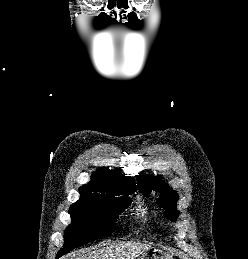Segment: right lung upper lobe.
<instances>
[{"label": "right lung upper lobe", "mask_w": 248, "mask_h": 259, "mask_svg": "<svg viewBox=\"0 0 248 259\" xmlns=\"http://www.w3.org/2000/svg\"><path fill=\"white\" fill-rule=\"evenodd\" d=\"M136 190L133 178L101 168L91 175V181L80 187L84 196L112 195L118 196L124 191Z\"/></svg>", "instance_id": "1"}]
</instances>
